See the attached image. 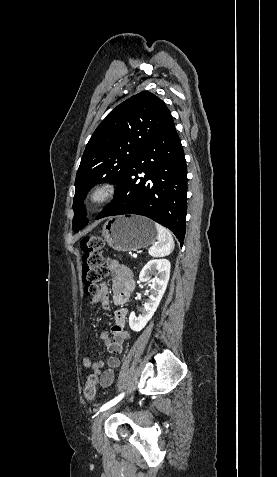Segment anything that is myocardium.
I'll return each instance as SVG.
<instances>
[{
	"instance_id": "obj_1",
	"label": "myocardium",
	"mask_w": 277,
	"mask_h": 477,
	"mask_svg": "<svg viewBox=\"0 0 277 477\" xmlns=\"http://www.w3.org/2000/svg\"><path fill=\"white\" fill-rule=\"evenodd\" d=\"M114 195L115 185L112 182H99L88 191L85 198V204L89 208H97L111 201Z\"/></svg>"
}]
</instances>
